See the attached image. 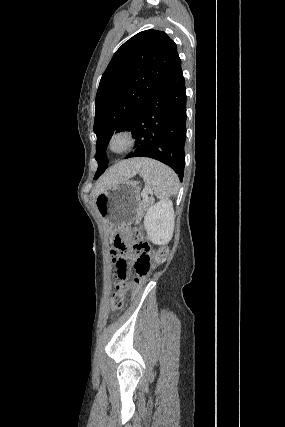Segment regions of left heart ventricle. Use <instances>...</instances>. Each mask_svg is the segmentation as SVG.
Returning <instances> with one entry per match:
<instances>
[{
	"label": "left heart ventricle",
	"mask_w": 285,
	"mask_h": 427,
	"mask_svg": "<svg viewBox=\"0 0 285 427\" xmlns=\"http://www.w3.org/2000/svg\"><path fill=\"white\" fill-rule=\"evenodd\" d=\"M123 144H124L123 140H117L114 144V147L118 149V148H121Z\"/></svg>",
	"instance_id": "left-heart-ventricle-1"
}]
</instances>
